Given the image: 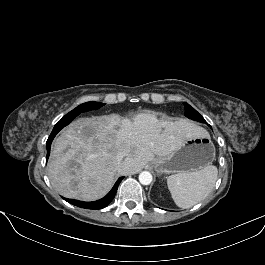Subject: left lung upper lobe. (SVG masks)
Masks as SVG:
<instances>
[{
	"label": "left lung upper lobe",
	"instance_id": "1",
	"mask_svg": "<svg viewBox=\"0 0 265 265\" xmlns=\"http://www.w3.org/2000/svg\"><path fill=\"white\" fill-rule=\"evenodd\" d=\"M184 106H185V116L195 121L206 122L204 118L189 104L184 103Z\"/></svg>",
	"mask_w": 265,
	"mask_h": 265
}]
</instances>
